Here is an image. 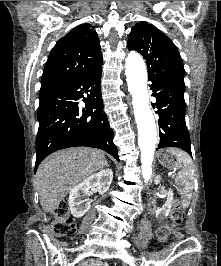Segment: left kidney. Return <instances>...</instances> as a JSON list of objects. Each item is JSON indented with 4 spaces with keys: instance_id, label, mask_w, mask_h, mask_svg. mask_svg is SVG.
<instances>
[{
    "instance_id": "5707ae66",
    "label": "left kidney",
    "mask_w": 221,
    "mask_h": 266,
    "mask_svg": "<svg viewBox=\"0 0 221 266\" xmlns=\"http://www.w3.org/2000/svg\"><path fill=\"white\" fill-rule=\"evenodd\" d=\"M161 180L160 176L156 177V184H158ZM167 196V201L164 204V206L161 208L160 210V215L162 217H167L170 213L171 210V206H172V201H173V191L170 189L168 192L165 193Z\"/></svg>"
}]
</instances>
